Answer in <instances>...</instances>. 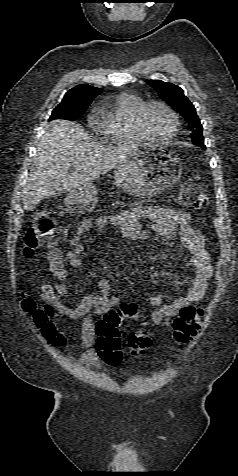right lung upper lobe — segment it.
Wrapping results in <instances>:
<instances>
[{
    "label": "right lung upper lobe",
    "instance_id": "obj_1",
    "mask_svg": "<svg viewBox=\"0 0 238 476\" xmlns=\"http://www.w3.org/2000/svg\"><path fill=\"white\" fill-rule=\"evenodd\" d=\"M101 88L93 87L88 84H80L69 90L62 101H69L78 104H88L101 92Z\"/></svg>",
    "mask_w": 238,
    "mask_h": 476
}]
</instances>
